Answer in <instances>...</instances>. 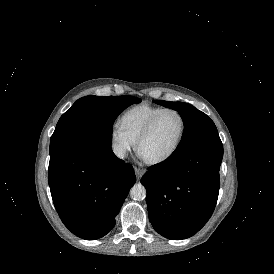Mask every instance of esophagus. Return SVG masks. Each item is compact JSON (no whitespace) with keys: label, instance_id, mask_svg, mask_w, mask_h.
Segmentation results:
<instances>
[{"label":"esophagus","instance_id":"1","mask_svg":"<svg viewBox=\"0 0 274 274\" xmlns=\"http://www.w3.org/2000/svg\"><path fill=\"white\" fill-rule=\"evenodd\" d=\"M134 170H135L136 177L138 179H140L144 175V173H145V170L141 169L139 167H134Z\"/></svg>","mask_w":274,"mask_h":274}]
</instances>
